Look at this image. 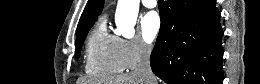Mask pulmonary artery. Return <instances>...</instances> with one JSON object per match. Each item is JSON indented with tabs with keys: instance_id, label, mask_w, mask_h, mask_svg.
Returning <instances> with one entry per match:
<instances>
[{
	"instance_id": "obj_1",
	"label": "pulmonary artery",
	"mask_w": 260,
	"mask_h": 84,
	"mask_svg": "<svg viewBox=\"0 0 260 84\" xmlns=\"http://www.w3.org/2000/svg\"><path fill=\"white\" fill-rule=\"evenodd\" d=\"M142 4L146 8H155L157 5V2L155 0H142Z\"/></svg>"
}]
</instances>
